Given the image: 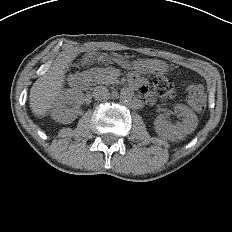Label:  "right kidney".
Listing matches in <instances>:
<instances>
[{
    "label": "right kidney",
    "instance_id": "1",
    "mask_svg": "<svg viewBox=\"0 0 232 232\" xmlns=\"http://www.w3.org/2000/svg\"><path fill=\"white\" fill-rule=\"evenodd\" d=\"M75 101L74 92L71 89L60 91L54 98L50 106L51 117L60 123L69 124L73 122L78 115V108H68L66 105L73 104Z\"/></svg>",
    "mask_w": 232,
    "mask_h": 232
}]
</instances>
